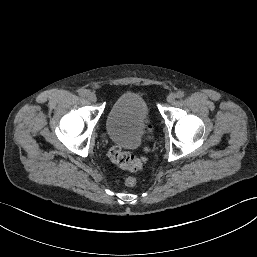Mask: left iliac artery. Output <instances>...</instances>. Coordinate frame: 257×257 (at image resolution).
Returning <instances> with one entry per match:
<instances>
[{
  "label": "left iliac artery",
  "mask_w": 257,
  "mask_h": 257,
  "mask_svg": "<svg viewBox=\"0 0 257 257\" xmlns=\"http://www.w3.org/2000/svg\"><path fill=\"white\" fill-rule=\"evenodd\" d=\"M176 97H177L178 99L183 98V97H184V92H183V91H178V92L176 93Z\"/></svg>",
  "instance_id": "obj_1"
}]
</instances>
